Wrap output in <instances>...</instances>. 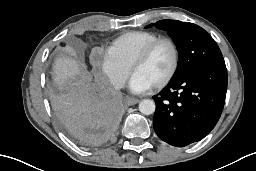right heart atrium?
Segmentation results:
<instances>
[{
    "label": "right heart atrium",
    "instance_id": "obj_1",
    "mask_svg": "<svg viewBox=\"0 0 256 171\" xmlns=\"http://www.w3.org/2000/svg\"><path fill=\"white\" fill-rule=\"evenodd\" d=\"M91 61L114 89L123 86L129 74V67L120 63L107 51L93 52Z\"/></svg>",
    "mask_w": 256,
    "mask_h": 171
}]
</instances>
